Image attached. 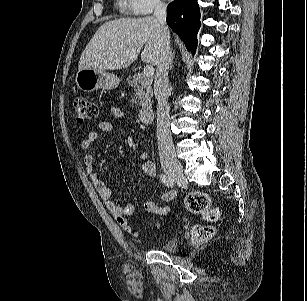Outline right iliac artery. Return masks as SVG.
Returning <instances> with one entry per match:
<instances>
[{
	"instance_id": "obj_1",
	"label": "right iliac artery",
	"mask_w": 307,
	"mask_h": 301,
	"mask_svg": "<svg viewBox=\"0 0 307 301\" xmlns=\"http://www.w3.org/2000/svg\"><path fill=\"white\" fill-rule=\"evenodd\" d=\"M160 179H161L162 183H164V185H166L168 187L174 186V180L171 177L162 173V174H160Z\"/></svg>"
}]
</instances>
